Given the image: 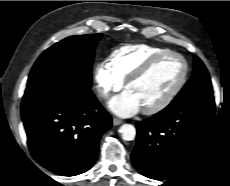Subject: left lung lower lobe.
Wrapping results in <instances>:
<instances>
[{
	"label": "left lung lower lobe",
	"mask_w": 230,
	"mask_h": 186,
	"mask_svg": "<svg viewBox=\"0 0 230 186\" xmlns=\"http://www.w3.org/2000/svg\"><path fill=\"white\" fill-rule=\"evenodd\" d=\"M215 118L214 96L169 105L136 123L131 160L142 175L166 180L185 168L203 146Z\"/></svg>",
	"instance_id": "0a47b994"
}]
</instances>
